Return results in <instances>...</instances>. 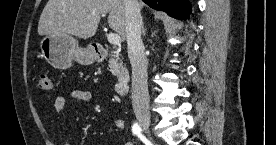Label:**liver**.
<instances>
[{
	"mask_svg": "<svg viewBox=\"0 0 276 145\" xmlns=\"http://www.w3.org/2000/svg\"><path fill=\"white\" fill-rule=\"evenodd\" d=\"M140 2V8L143 7ZM109 13L108 23L121 38H126L124 0H48L39 23V35L68 34L82 39L95 35L102 15Z\"/></svg>",
	"mask_w": 276,
	"mask_h": 145,
	"instance_id": "liver-1",
	"label": "liver"
}]
</instances>
